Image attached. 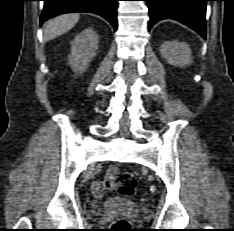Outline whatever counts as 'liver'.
I'll return each instance as SVG.
<instances>
[{"mask_svg":"<svg viewBox=\"0 0 234 231\" xmlns=\"http://www.w3.org/2000/svg\"><path fill=\"white\" fill-rule=\"evenodd\" d=\"M79 18L80 16L78 13H69L49 20L45 25L44 39L49 41L61 36L72 29L78 22Z\"/></svg>","mask_w":234,"mask_h":231,"instance_id":"liver-1","label":"liver"}]
</instances>
